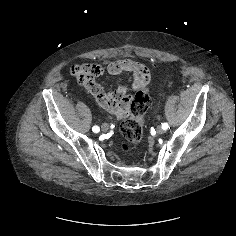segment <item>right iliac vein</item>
I'll list each match as a JSON object with an SVG mask.
<instances>
[{
    "label": "right iliac vein",
    "instance_id": "obj_1",
    "mask_svg": "<svg viewBox=\"0 0 236 236\" xmlns=\"http://www.w3.org/2000/svg\"><path fill=\"white\" fill-rule=\"evenodd\" d=\"M101 129L106 132L109 129V125L107 123H103Z\"/></svg>",
    "mask_w": 236,
    "mask_h": 236
}]
</instances>
